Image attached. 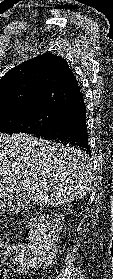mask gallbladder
Segmentation results:
<instances>
[{"label":"gallbladder","mask_w":113,"mask_h":279,"mask_svg":"<svg viewBox=\"0 0 113 279\" xmlns=\"http://www.w3.org/2000/svg\"><path fill=\"white\" fill-rule=\"evenodd\" d=\"M1 204H2V202H0V208H1Z\"/></svg>","instance_id":"obj_1"}]
</instances>
